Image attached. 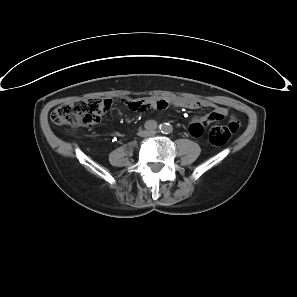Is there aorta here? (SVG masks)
Masks as SVG:
<instances>
[{
  "label": "aorta",
  "mask_w": 297,
  "mask_h": 297,
  "mask_svg": "<svg viewBox=\"0 0 297 297\" xmlns=\"http://www.w3.org/2000/svg\"><path fill=\"white\" fill-rule=\"evenodd\" d=\"M161 131L163 133H171L172 132V126L170 124H163L161 127Z\"/></svg>",
  "instance_id": "obj_1"
}]
</instances>
